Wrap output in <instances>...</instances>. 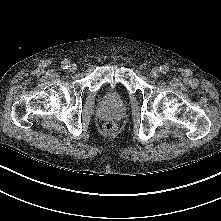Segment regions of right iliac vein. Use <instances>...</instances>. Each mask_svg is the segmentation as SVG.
<instances>
[{
    "label": "right iliac vein",
    "mask_w": 221,
    "mask_h": 221,
    "mask_svg": "<svg viewBox=\"0 0 221 221\" xmlns=\"http://www.w3.org/2000/svg\"><path fill=\"white\" fill-rule=\"evenodd\" d=\"M77 70V66L75 65V64H71L70 66H69V71L70 72H75Z\"/></svg>",
    "instance_id": "1"
}]
</instances>
